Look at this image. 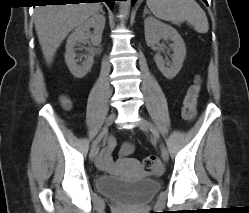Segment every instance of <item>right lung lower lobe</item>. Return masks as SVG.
<instances>
[{"label": "right lung lower lobe", "mask_w": 249, "mask_h": 213, "mask_svg": "<svg viewBox=\"0 0 249 213\" xmlns=\"http://www.w3.org/2000/svg\"><path fill=\"white\" fill-rule=\"evenodd\" d=\"M81 1H87V0H45V2L54 3V4H58V5L59 4H66V3H79ZM88 1H104L112 9L115 0H88Z\"/></svg>", "instance_id": "98d812e1"}]
</instances>
